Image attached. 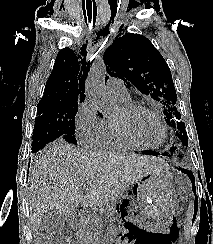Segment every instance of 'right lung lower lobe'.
I'll return each instance as SVG.
<instances>
[{
    "mask_svg": "<svg viewBox=\"0 0 213 244\" xmlns=\"http://www.w3.org/2000/svg\"><path fill=\"white\" fill-rule=\"evenodd\" d=\"M40 150V149H39ZM36 151H38V150H36ZM36 151H32V153H34V152H36Z\"/></svg>",
    "mask_w": 213,
    "mask_h": 244,
    "instance_id": "1",
    "label": "right lung lower lobe"
}]
</instances>
